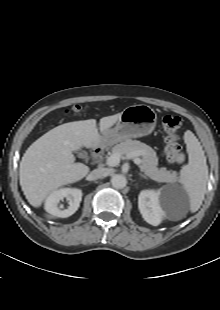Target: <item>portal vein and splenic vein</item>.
Masks as SVG:
<instances>
[{"label":"portal vein and splenic vein","instance_id":"18ae733b","mask_svg":"<svg viewBox=\"0 0 220 310\" xmlns=\"http://www.w3.org/2000/svg\"><path fill=\"white\" fill-rule=\"evenodd\" d=\"M120 158H121V155L119 153H113L107 158L106 164L110 167H114L120 163ZM132 158H133L134 163L140 167L142 164L141 159L134 158V157Z\"/></svg>","mask_w":220,"mask_h":310}]
</instances>
